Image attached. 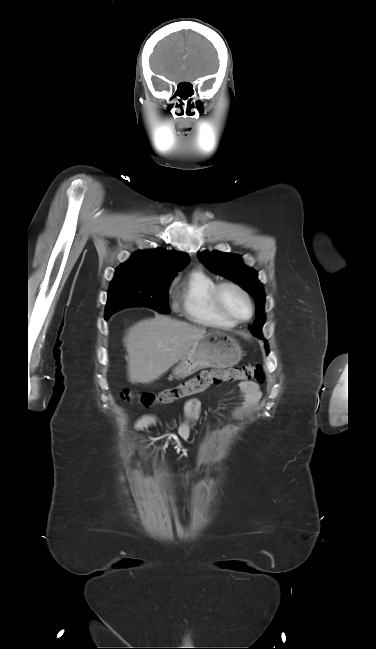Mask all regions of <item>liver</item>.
Masks as SVG:
<instances>
[{
    "mask_svg": "<svg viewBox=\"0 0 376 649\" xmlns=\"http://www.w3.org/2000/svg\"><path fill=\"white\" fill-rule=\"evenodd\" d=\"M206 329L157 314L133 325L124 338L128 377L149 384L183 358Z\"/></svg>",
    "mask_w": 376,
    "mask_h": 649,
    "instance_id": "6515ba94",
    "label": "liver"
}]
</instances>
